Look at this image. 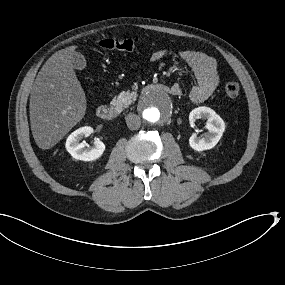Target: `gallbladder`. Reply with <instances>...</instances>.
I'll return each instance as SVG.
<instances>
[{
	"instance_id": "bac80fb5",
	"label": "gallbladder",
	"mask_w": 285,
	"mask_h": 285,
	"mask_svg": "<svg viewBox=\"0 0 285 285\" xmlns=\"http://www.w3.org/2000/svg\"><path fill=\"white\" fill-rule=\"evenodd\" d=\"M72 63H73V68L82 70L86 67V60L84 56L79 53V52H74L72 54Z\"/></svg>"
}]
</instances>
